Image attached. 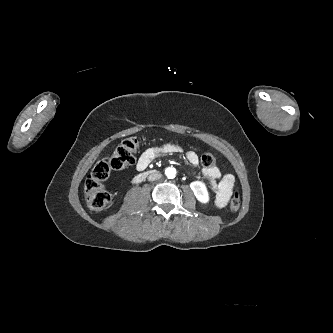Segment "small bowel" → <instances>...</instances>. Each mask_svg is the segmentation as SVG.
<instances>
[{"label":"small bowel","instance_id":"1","mask_svg":"<svg viewBox=\"0 0 333 333\" xmlns=\"http://www.w3.org/2000/svg\"><path fill=\"white\" fill-rule=\"evenodd\" d=\"M177 153H184L186 160L192 165H197L199 162L198 155L194 151H184V149L178 144L166 143L146 149L140 155L136 163V169L138 171H144L158 156ZM202 174L209 181L212 189L215 191L216 206L219 208L225 207L232 195L234 186L233 175H222L219 168L216 166L210 168L204 167L202 169Z\"/></svg>","mask_w":333,"mask_h":333}]
</instances>
